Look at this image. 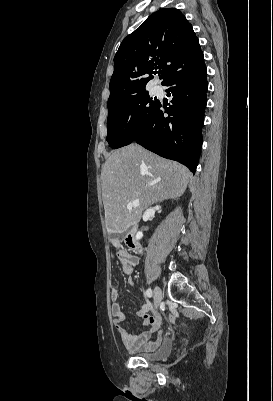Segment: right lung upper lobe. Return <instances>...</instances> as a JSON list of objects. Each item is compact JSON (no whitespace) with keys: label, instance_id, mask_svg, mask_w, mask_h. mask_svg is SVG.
Instances as JSON below:
<instances>
[{"label":"right lung upper lobe","instance_id":"right-lung-upper-lobe-1","mask_svg":"<svg viewBox=\"0 0 273 401\" xmlns=\"http://www.w3.org/2000/svg\"><path fill=\"white\" fill-rule=\"evenodd\" d=\"M203 59L199 40L185 16L175 8L158 10L122 41L114 57L108 107L146 91L156 69L164 84L178 67Z\"/></svg>","mask_w":273,"mask_h":401}]
</instances>
